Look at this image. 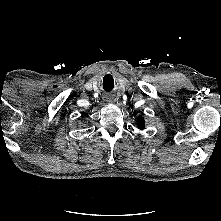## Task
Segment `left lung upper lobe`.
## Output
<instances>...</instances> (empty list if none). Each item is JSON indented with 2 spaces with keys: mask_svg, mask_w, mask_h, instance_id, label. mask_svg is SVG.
Here are the masks:
<instances>
[{
  "mask_svg": "<svg viewBox=\"0 0 221 221\" xmlns=\"http://www.w3.org/2000/svg\"><path fill=\"white\" fill-rule=\"evenodd\" d=\"M144 127H145L144 120H143V118L139 117L138 118V128L144 129Z\"/></svg>",
  "mask_w": 221,
  "mask_h": 221,
  "instance_id": "obj_1",
  "label": "left lung upper lobe"
}]
</instances>
